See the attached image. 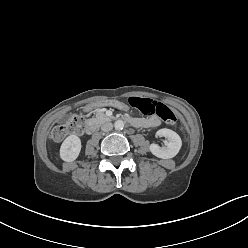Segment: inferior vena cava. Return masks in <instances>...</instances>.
<instances>
[{"label": "inferior vena cava", "instance_id": "1", "mask_svg": "<svg viewBox=\"0 0 248 248\" xmlns=\"http://www.w3.org/2000/svg\"><path fill=\"white\" fill-rule=\"evenodd\" d=\"M112 129H113V124L111 122L104 123L101 126V130L104 131V132H108V131H110Z\"/></svg>", "mask_w": 248, "mask_h": 248}]
</instances>
